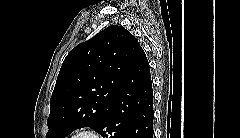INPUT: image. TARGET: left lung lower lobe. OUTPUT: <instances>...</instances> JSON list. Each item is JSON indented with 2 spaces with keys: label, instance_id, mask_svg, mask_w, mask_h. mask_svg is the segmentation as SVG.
Listing matches in <instances>:
<instances>
[{
  "label": "left lung lower lobe",
  "instance_id": "1",
  "mask_svg": "<svg viewBox=\"0 0 240 138\" xmlns=\"http://www.w3.org/2000/svg\"><path fill=\"white\" fill-rule=\"evenodd\" d=\"M153 89L141 48L98 129L106 138H153Z\"/></svg>",
  "mask_w": 240,
  "mask_h": 138
}]
</instances>
